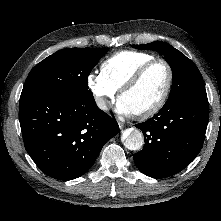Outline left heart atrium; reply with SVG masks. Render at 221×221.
<instances>
[{
	"label": "left heart atrium",
	"mask_w": 221,
	"mask_h": 221,
	"mask_svg": "<svg viewBox=\"0 0 221 221\" xmlns=\"http://www.w3.org/2000/svg\"><path fill=\"white\" fill-rule=\"evenodd\" d=\"M117 111L120 114H123V115H126V116L133 114L132 111L130 110V108L122 100L118 101Z\"/></svg>",
	"instance_id": "obj_1"
}]
</instances>
